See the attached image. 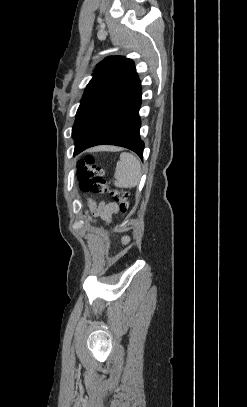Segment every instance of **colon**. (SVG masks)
I'll return each mask as SVG.
<instances>
[{
    "mask_svg": "<svg viewBox=\"0 0 247 407\" xmlns=\"http://www.w3.org/2000/svg\"><path fill=\"white\" fill-rule=\"evenodd\" d=\"M79 186L83 192L104 193L108 192L112 201L117 204L122 213L129 210V194L125 190L111 188L104 178L103 170L96 165L92 155H86L77 162Z\"/></svg>",
    "mask_w": 247,
    "mask_h": 407,
    "instance_id": "obj_1",
    "label": "colon"
}]
</instances>
